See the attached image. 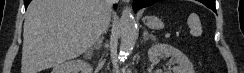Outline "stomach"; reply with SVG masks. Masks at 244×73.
Masks as SVG:
<instances>
[{
    "mask_svg": "<svg viewBox=\"0 0 244 73\" xmlns=\"http://www.w3.org/2000/svg\"><path fill=\"white\" fill-rule=\"evenodd\" d=\"M144 24L154 30L162 29L164 27L163 22L156 16H146L143 18Z\"/></svg>",
    "mask_w": 244,
    "mask_h": 73,
    "instance_id": "obj_1",
    "label": "stomach"
}]
</instances>
